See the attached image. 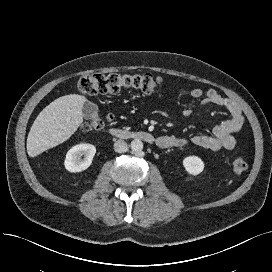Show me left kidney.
Instances as JSON below:
<instances>
[{"instance_id": "1", "label": "left kidney", "mask_w": 272, "mask_h": 272, "mask_svg": "<svg viewBox=\"0 0 272 272\" xmlns=\"http://www.w3.org/2000/svg\"><path fill=\"white\" fill-rule=\"evenodd\" d=\"M185 170L191 175H198L204 169V162L198 156H188L183 159Z\"/></svg>"}]
</instances>
